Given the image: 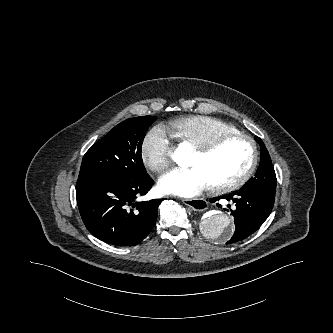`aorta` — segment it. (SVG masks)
<instances>
[{"instance_id": "obj_1", "label": "aorta", "mask_w": 333, "mask_h": 333, "mask_svg": "<svg viewBox=\"0 0 333 333\" xmlns=\"http://www.w3.org/2000/svg\"><path fill=\"white\" fill-rule=\"evenodd\" d=\"M173 160L181 167L189 166L188 152L183 149H178ZM203 234L216 241H224L228 239L234 230V224L229 215L221 211H212L201 222Z\"/></svg>"}]
</instances>
